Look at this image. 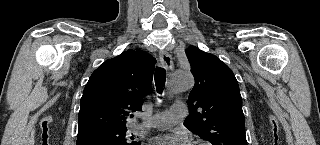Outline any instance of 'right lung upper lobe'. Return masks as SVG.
Wrapping results in <instances>:
<instances>
[{"mask_svg": "<svg viewBox=\"0 0 320 145\" xmlns=\"http://www.w3.org/2000/svg\"><path fill=\"white\" fill-rule=\"evenodd\" d=\"M156 60L140 50H128L106 60L91 75L80 101L78 136L107 128L126 127L140 111L149 92Z\"/></svg>", "mask_w": 320, "mask_h": 145, "instance_id": "1", "label": "right lung upper lobe"}]
</instances>
